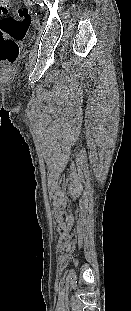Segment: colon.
I'll list each match as a JSON object with an SVG mask.
<instances>
[{"mask_svg": "<svg viewBox=\"0 0 131 311\" xmlns=\"http://www.w3.org/2000/svg\"><path fill=\"white\" fill-rule=\"evenodd\" d=\"M31 22L29 11L12 7L11 0H0V63L12 65L19 55V44Z\"/></svg>", "mask_w": 131, "mask_h": 311, "instance_id": "1", "label": "colon"}]
</instances>
